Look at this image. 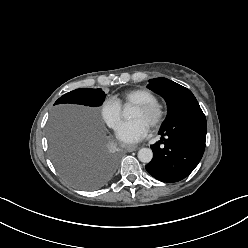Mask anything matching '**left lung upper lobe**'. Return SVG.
<instances>
[{
    "label": "left lung upper lobe",
    "mask_w": 248,
    "mask_h": 248,
    "mask_svg": "<svg viewBox=\"0 0 248 248\" xmlns=\"http://www.w3.org/2000/svg\"><path fill=\"white\" fill-rule=\"evenodd\" d=\"M147 87L161 95L167 103L168 112L161 127L168 124L185 106L197 102L189 89L166 78L151 79Z\"/></svg>",
    "instance_id": "left-lung-upper-lobe-1"
}]
</instances>
